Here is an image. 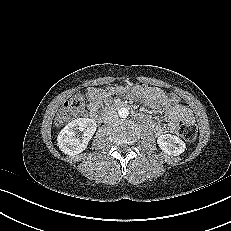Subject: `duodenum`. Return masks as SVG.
Here are the masks:
<instances>
[{
  "label": "duodenum",
  "mask_w": 231,
  "mask_h": 231,
  "mask_svg": "<svg viewBox=\"0 0 231 231\" xmlns=\"http://www.w3.org/2000/svg\"><path fill=\"white\" fill-rule=\"evenodd\" d=\"M126 104L122 101H118L116 103L113 104V106L110 107H103V108H99L91 113L92 118L97 121L100 122L102 121L109 113H111L113 111L114 108H123L125 107Z\"/></svg>",
  "instance_id": "duodenum-1"
}]
</instances>
